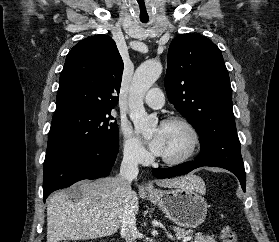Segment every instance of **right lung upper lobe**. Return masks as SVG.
<instances>
[{"mask_svg": "<svg viewBox=\"0 0 279 242\" xmlns=\"http://www.w3.org/2000/svg\"><path fill=\"white\" fill-rule=\"evenodd\" d=\"M122 73L123 61L111 37L81 40L66 57L55 114L77 109L111 111L118 102Z\"/></svg>", "mask_w": 279, "mask_h": 242, "instance_id": "obj_1", "label": "right lung upper lobe"}]
</instances>
